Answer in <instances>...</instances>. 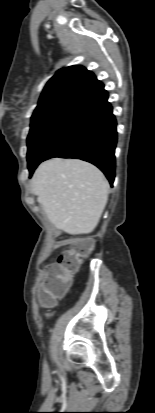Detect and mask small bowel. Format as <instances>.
<instances>
[{"label":"small bowel","mask_w":155,"mask_h":413,"mask_svg":"<svg viewBox=\"0 0 155 413\" xmlns=\"http://www.w3.org/2000/svg\"><path fill=\"white\" fill-rule=\"evenodd\" d=\"M45 293V286H42L39 291V297L42 298Z\"/></svg>","instance_id":"small-bowel-1"}]
</instances>
